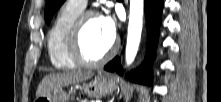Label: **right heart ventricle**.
<instances>
[{
    "label": "right heart ventricle",
    "instance_id": "e07e8e85",
    "mask_svg": "<svg viewBox=\"0 0 221 102\" xmlns=\"http://www.w3.org/2000/svg\"><path fill=\"white\" fill-rule=\"evenodd\" d=\"M83 11L84 8L71 1L67 2L57 13L48 31V54L57 69L70 70L77 66L68 52V37L75 20Z\"/></svg>",
    "mask_w": 221,
    "mask_h": 102
}]
</instances>
